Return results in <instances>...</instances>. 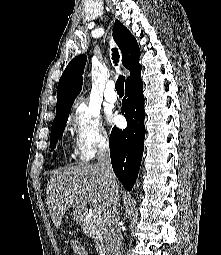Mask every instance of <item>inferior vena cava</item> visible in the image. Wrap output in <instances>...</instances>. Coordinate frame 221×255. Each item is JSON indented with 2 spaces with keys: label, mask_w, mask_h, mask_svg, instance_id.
<instances>
[{
  "label": "inferior vena cava",
  "mask_w": 221,
  "mask_h": 255,
  "mask_svg": "<svg viewBox=\"0 0 221 255\" xmlns=\"http://www.w3.org/2000/svg\"><path fill=\"white\" fill-rule=\"evenodd\" d=\"M98 166L107 182H115V174L111 166L109 153V142L107 138L102 137L98 142L97 149ZM120 196L118 188L112 187L111 199L104 210V239L107 255H122V233L120 228L119 201Z\"/></svg>",
  "instance_id": "602c4592"
}]
</instances>
